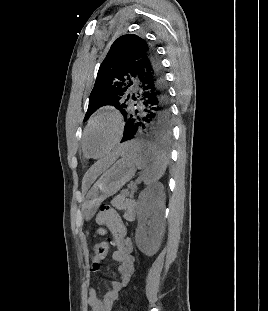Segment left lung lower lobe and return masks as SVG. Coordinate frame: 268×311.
I'll use <instances>...</instances> for the list:
<instances>
[{
    "label": "left lung lower lobe",
    "mask_w": 268,
    "mask_h": 311,
    "mask_svg": "<svg viewBox=\"0 0 268 311\" xmlns=\"http://www.w3.org/2000/svg\"><path fill=\"white\" fill-rule=\"evenodd\" d=\"M136 91L132 95L135 109L126 119L121 140L168 141L171 110L161 61L151 50L138 68Z\"/></svg>",
    "instance_id": "1"
}]
</instances>
